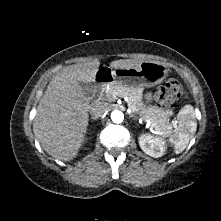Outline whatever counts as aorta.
<instances>
[{"mask_svg": "<svg viewBox=\"0 0 221 221\" xmlns=\"http://www.w3.org/2000/svg\"><path fill=\"white\" fill-rule=\"evenodd\" d=\"M111 120L114 123H121L124 120V114L120 110H113L111 112Z\"/></svg>", "mask_w": 221, "mask_h": 221, "instance_id": "aorta-1", "label": "aorta"}]
</instances>
